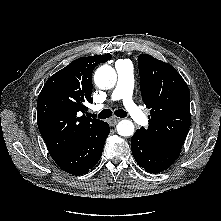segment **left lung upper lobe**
I'll return each instance as SVG.
<instances>
[{"instance_id": "left-lung-upper-lobe-1", "label": "left lung upper lobe", "mask_w": 221, "mask_h": 221, "mask_svg": "<svg viewBox=\"0 0 221 221\" xmlns=\"http://www.w3.org/2000/svg\"><path fill=\"white\" fill-rule=\"evenodd\" d=\"M142 99L151 109L149 127L140 132L160 147L180 152L191 124L190 92L176 69L154 57L139 55Z\"/></svg>"}]
</instances>
